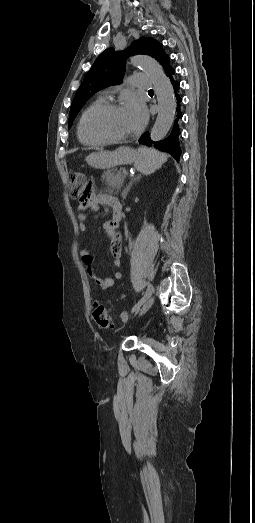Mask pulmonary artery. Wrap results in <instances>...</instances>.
<instances>
[{"instance_id": "obj_1", "label": "pulmonary artery", "mask_w": 255, "mask_h": 523, "mask_svg": "<svg viewBox=\"0 0 255 523\" xmlns=\"http://www.w3.org/2000/svg\"><path fill=\"white\" fill-rule=\"evenodd\" d=\"M132 81L134 83L133 88L140 92L150 91L152 89V77L148 73L136 72L134 75H131ZM121 94L127 95L130 92L129 87L123 86L120 89ZM106 94H109V91H105Z\"/></svg>"}]
</instances>
